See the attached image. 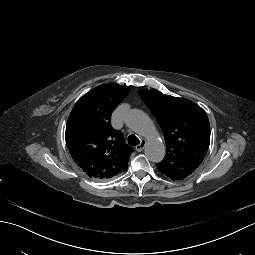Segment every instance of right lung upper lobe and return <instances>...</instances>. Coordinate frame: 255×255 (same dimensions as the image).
Masks as SVG:
<instances>
[{"instance_id": "obj_1", "label": "right lung upper lobe", "mask_w": 255, "mask_h": 255, "mask_svg": "<svg viewBox=\"0 0 255 255\" xmlns=\"http://www.w3.org/2000/svg\"><path fill=\"white\" fill-rule=\"evenodd\" d=\"M130 88L105 84L83 95L66 125V144L76 164L91 178L110 179L128 168L133 148L111 126V114Z\"/></svg>"}]
</instances>
